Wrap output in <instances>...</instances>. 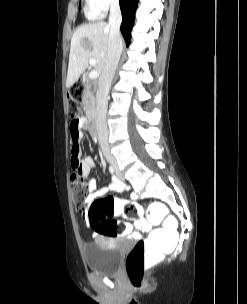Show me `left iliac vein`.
<instances>
[{
  "mask_svg": "<svg viewBox=\"0 0 247 304\" xmlns=\"http://www.w3.org/2000/svg\"><path fill=\"white\" fill-rule=\"evenodd\" d=\"M116 177L119 181H124V176L118 169L117 165H115Z\"/></svg>",
  "mask_w": 247,
  "mask_h": 304,
  "instance_id": "obj_1",
  "label": "left iliac vein"
}]
</instances>
